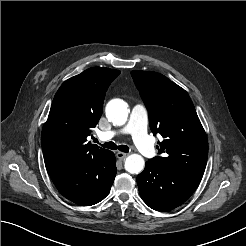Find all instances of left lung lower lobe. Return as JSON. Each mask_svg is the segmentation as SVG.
<instances>
[{"mask_svg": "<svg viewBox=\"0 0 246 246\" xmlns=\"http://www.w3.org/2000/svg\"><path fill=\"white\" fill-rule=\"evenodd\" d=\"M203 174L146 162L137 177L140 196L152 209L170 211L184 203L198 187Z\"/></svg>", "mask_w": 246, "mask_h": 246, "instance_id": "left-lung-lower-lobe-1", "label": "left lung lower lobe"}]
</instances>
